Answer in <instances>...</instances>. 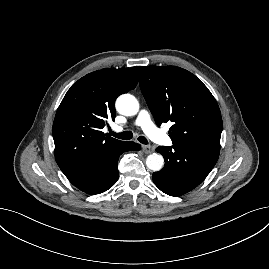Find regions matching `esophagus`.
<instances>
[{"label":"esophagus","instance_id":"esophagus-1","mask_svg":"<svg viewBox=\"0 0 269 269\" xmlns=\"http://www.w3.org/2000/svg\"><path fill=\"white\" fill-rule=\"evenodd\" d=\"M142 149L145 154H150L153 152V148L151 145H143Z\"/></svg>","mask_w":269,"mask_h":269}]
</instances>
